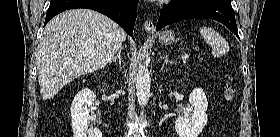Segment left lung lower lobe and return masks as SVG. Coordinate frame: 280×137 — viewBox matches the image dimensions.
Returning a JSON list of instances; mask_svg holds the SVG:
<instances>
[{
  "label": "left lung lower lobe",
  "mask_w": 280,
  "mask_h": 137,
  "mask_svg": "<svg viewBox=\"0 0 280 137\" xmlns=\"http://www.w3.org/2000/svg\"><path fill=\"white\" fill-rule=\"evenodd\" d=\"M191 18L217 20L239 38L230 0H178L171 2L161 11L156 30L158 31L174 22Z\"/></svg>",
  "instance_id": "obj_1"
}]
</instances>
